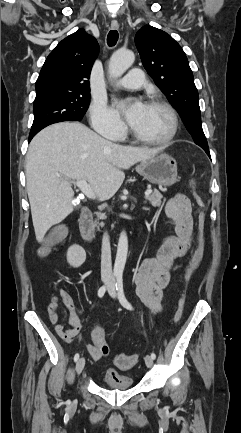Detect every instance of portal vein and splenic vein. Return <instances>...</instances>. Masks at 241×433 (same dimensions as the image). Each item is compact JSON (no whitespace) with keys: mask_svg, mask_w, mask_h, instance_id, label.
Here are the masks:
<instances>
[{"mask_svg":"<svg viewBox=\"0 0 241 433\" xmlns=\"http://www.w3.org/2000/svg\"><path fill=\"white\" fill-rule=\"evenodd\" d=\"M76 186L90 199H95V194L91 189L90 185L85 180H78L75 182ZM152 193L151 189L145 191V196H149Z\"/></svg>","mask_w":241,"mask_h":433,"instance_id":"1","label":"portal vein and splenic vein"}]
</instances>
